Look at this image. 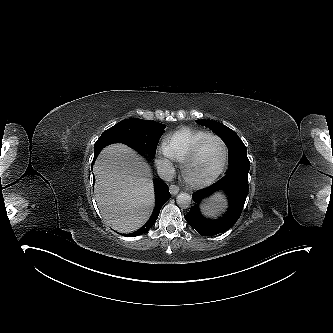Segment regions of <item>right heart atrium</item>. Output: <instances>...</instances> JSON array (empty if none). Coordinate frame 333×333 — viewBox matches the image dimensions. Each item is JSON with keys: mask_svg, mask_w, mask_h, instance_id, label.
Segmentation results:
<instances>
[{"mask_svg": "<svg viewBox=\"0 0 333 333\" xmlns=\"http://www.w3.org/2000/svg\"><path fill=\"white\" fill-rule=\"evenodd\" d=\"M170 155L165 146H161L157 154V164L160 167H166L169 165Z\"/></svg>", "mask_w": 333, "mask_h": 333, "instance_id": "right-heart-atrium-1", "label": "right heart atrium"}]
</instances>
